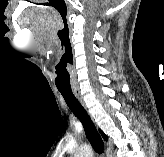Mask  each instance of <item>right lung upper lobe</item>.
<instances>
[{"mask_svg": "<svg viewBox=\"0 0 164 157\" xmlns=\"http://www.w3.org/2000/svg\"><path fill=\"white\" fill-rule=\"evenodd\" d=\"M100 133H101L102 137H103L105 140L108 139V137H107L101 130H100Z\"/></svg>", "mask_w": 164, "mask_h": 157, "instance_id": "right-lung-upper-lobe-1", "label": "right lung upper lobe"}]
</instances>
